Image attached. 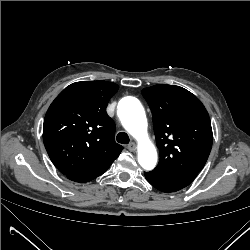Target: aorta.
I'll list each match as a JSON object with an SVG mask.
<instances>
[{
  "label": "aorta",
  "mask_w": 250,
  "mask_h": 250,
  "mask_svg": "<svg viewBox=\"0 0 250 250\" xmlns=\"http://www.w3.org/2000/svg\"><path fill=\"white\" fill-rule=\"evenodd\" d=\"M124 128L138 141V162L145 170L157 163V151L147 133V118L142 104L134 97H124L118 104Z\"/></svg>",
  "instance_id": "762f6f07"
}]
</instances>
